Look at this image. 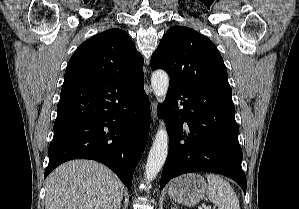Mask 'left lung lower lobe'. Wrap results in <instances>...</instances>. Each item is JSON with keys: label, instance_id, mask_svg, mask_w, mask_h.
<instances>
[{"label": "left lung lower lobe", "instance_id": "0a47b994", "mask_svg": "<svg viewBox=\"0 0 299 209\" xmlns=\"http://www.w3.org/2000/svg\"><path fill=\"white\" fill-rule=\"evenodd\" d=\"M163 112L169 133V154L160 189L178 175L207 171L237 181L246 193L231 89L170 83Z\"/></svg>", "mask_w": 299, "mask_h": 209}]
</instances>
